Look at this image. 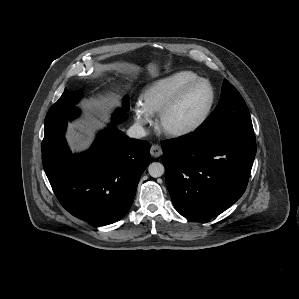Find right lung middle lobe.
I'll return each instance as SVG.
<instances>
[{
    "label": "right lung middle lobe",
    "instance_id": "right-lung-middle-lobe-1",
    "mask_svg": "<svg viewBox=\"0 0 299 299\" xmlns=\"http://www.w3.org/2000/svg\"><path fill=\"white\" fill-rule=\"evenodd\" d=\"M80 95L69 92L65 89L60 99L49 109V114L57 112H65L75 108V104L79 101ZM124 107L128 109V97L124 101Z\"/></svg>",
    "mask_w": 299,
    "mask_h": 299
}]
</instances>
